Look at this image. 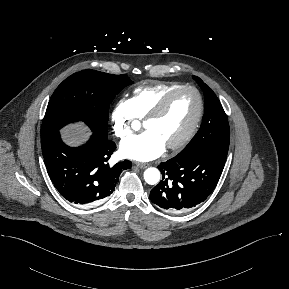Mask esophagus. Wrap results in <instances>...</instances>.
Segmentation results:
<instances>
[{
    "label": "esophagus",
    "mask_w": 289,
    "mask_h": 289,
    "mask_svg": "<svg viewBox=\"0 0 289 289\" xmlns=\"http://www.w3.org/2000/svg\"><path fill=\"white\" fill-rule=\"evenodd\" d=\"M136 166L141 169H144V168H147L149 165L146 163L136 162Z\"/></svg>",
    "instance_id": "esophagus-1"
}]
</instances>
